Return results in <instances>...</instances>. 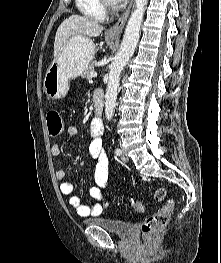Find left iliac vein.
I'll use <instances>...</instances> for the list:
<instances>
[{"label": "left iliac vein", "mask_w": 221, "mask_h": 263, "mask_svg": "<svg viewBox=\"0 0 221 263\" xmlns=\"http://www.w3.org/2000/svg\"><path fill=\"white\" fill-rule=\"evenodd\" d=\"M121 159L125 162L129 161V157L124 150H122Z\"/></svg>", "instance_id": "4c4485c4"}]
</instances>
